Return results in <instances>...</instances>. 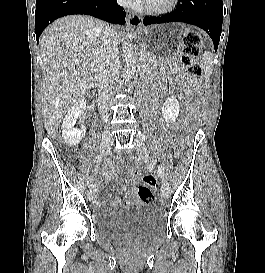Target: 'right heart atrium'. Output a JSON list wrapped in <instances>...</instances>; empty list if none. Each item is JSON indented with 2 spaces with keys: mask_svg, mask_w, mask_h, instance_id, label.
Instances as JSON below:
<instances>
[{
  "mask_svg": "<svg viewBox=\"0 0 265 273\" xmlns=\"http://www.w3.org/2000/svg\"><path fill=\"white\" fill-rule=\"evenodd\" d=\"M131 0H119V2L120 3H122V4H127V3H129Z\"/></svg>",
  "mask_w": 265,
  "mask_h": 273,
  "instance_id": "1",
  "label": "right heart atrium"
}]
</instances>
